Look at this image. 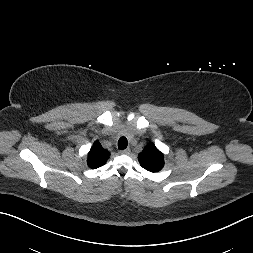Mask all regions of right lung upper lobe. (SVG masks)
<instances>
[{"label": "right lung upper lobe", "instance_id": "cb5924a9", "mask_svg": "<svg viewBox=\"0 0 253 253\" xmlns=\"http://www.w3.org/2000/svg\"><path fill=\"white\" fill-rule=\"evenodd\" d=\"M110 153L103 149L98 141H95L88 153V165L91 168H98L107 162Z\"/></svg>", "mask_w": 253, "mask_h": 253}]
</instances>
